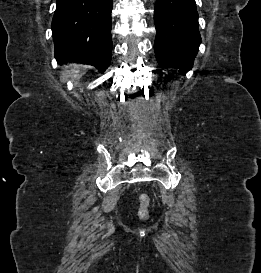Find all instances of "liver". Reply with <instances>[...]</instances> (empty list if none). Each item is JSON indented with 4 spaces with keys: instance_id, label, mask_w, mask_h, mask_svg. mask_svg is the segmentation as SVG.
<instances>
[{
    "instance_id": "obj_1",
    "label": "liver",
    "mask_w": 261,
    "mask_h": 273,
    "mask_svg": "<svg viewBox=\"0 0 261 273\" xmlns=\"http://www.w3.org/2000/svg\"><path fill=\"white\" fill-rule=\"evenodd\" d=\"M75 67H76V65H75ZM71 77H72L73 79H76V78H79L80 75H79L78 73H72Z\"/></svg>"
}]
</instances>
